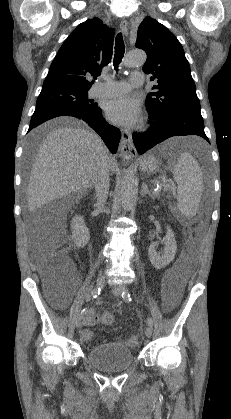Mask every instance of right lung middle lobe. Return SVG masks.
<instances>
[{"instance_id": "dd1d6c3e", "label": "right lung middle lobe", "mask_w": 231, "mask_h": 419, "mask_svg": "<svg viewBox=\"0 0 231 419\" xmlns=\"http://www.w3.org/2000/svg\"><path fill=\"white\" fill-rule=\"evenodd\" d=\"M87 89L66 85H50L42 87L36 107H64L74 110L91 111L96 107L88 100Z\"/></svg>"}]
</instances>
